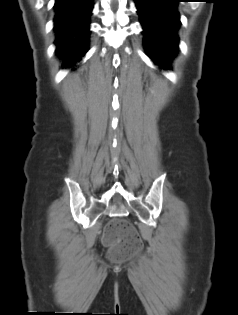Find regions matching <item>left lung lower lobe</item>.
<instances>
[{"label":"left lung lower lobe","instance_id":"left-lung-lower-lobe-1","mask_svg":"<svg viewBox=\"0 0 238 315\" xmlns=\"http://www.w3.org/2000/svg\"><path fill=\"white\" fill-rule=\"evenodd\" d=\"M143 26L148 56L163 69H171L178 52L181 25L177 6L181 0H133Z\"/></svg>","mask_w":238,"mask_h":315}]
</instances>
